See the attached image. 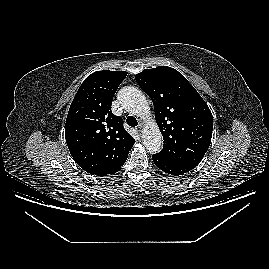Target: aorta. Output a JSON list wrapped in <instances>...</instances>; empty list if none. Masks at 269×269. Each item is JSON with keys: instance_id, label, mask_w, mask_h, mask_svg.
<instances>
[{"instance_id": "aorta-1", "label": "aorta", "mask_w": 269, "mask_h": 269, "mask_svg": "<svg viewBox=\"0 0 269 269\" xmlns=\"http://www.w3.org/2000/svg\"><path fill=\"white\" fill-rule=\"evenodd\" d=\"M118 98L122 106L131 114L146 118L150 109L145 95L135 87L120 90ZM142 141L148 152L154 154L161 150L163 138L155 121L148 122L142 132Z\"/></svg>"}]
</instances>
